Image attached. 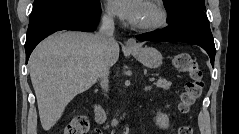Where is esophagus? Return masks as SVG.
Returning a JSON list of instances; mask_svg holds the SVG:
<instances>
[{
    "instance_id": "obj_1",
    "label": "esophagus",
    "mask_w": 239,
    "mask_h": 134,
    "mask_svg": "<svg viewBox=\"0 0 239 134\" xmlns=\"http://www.w3.org/2000/svg\"><path fill=\"white\" fill-rule=\"evenodd\" d=\"M125 45H126L127 48H130V49L137 47V43H136V40L134 38L127 39Z\"/></svg>"
}]
</instances>
